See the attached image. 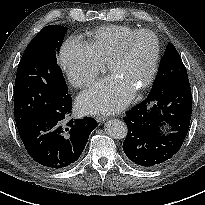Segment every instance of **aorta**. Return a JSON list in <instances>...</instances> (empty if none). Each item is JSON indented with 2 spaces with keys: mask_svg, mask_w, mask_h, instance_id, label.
Instances as JSON below:
<instances>
[{
  "mask_svg": "<svg viewBox=\"0 0 205 205\" xmlns=\"http://www.w3.org/2000/svg\"><path fill=\"white\" fill-rule=\"evenodd\" d=\"M105 132L114 139H123L127 135V126L123 121L113 119L105 124Z\"/></svg>",
  "mask_w": 205,
  "mask_h": 205,
  "instance_id": "762f6f07",
  "label": "aorta"
}]
</instances>
